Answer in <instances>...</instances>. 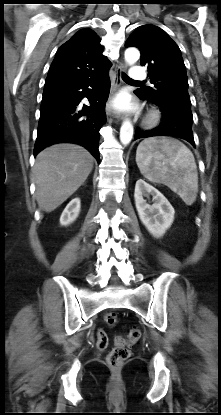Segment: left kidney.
I'll list each match as a JSON object with an SVG mask.
<instances>
[{
    "instance_id": "1",
    "label": "left kidney",
    "mask_w": 221,
    "mask_h": 415,
    "mask_svg": "<svg viewBox=\"0 0 221 415\" xmlns=\"http://www.w3.org/2000/svg\"><path fill=\"white\" fill-rule=\"evenodd\" d=\"M153 196V204L146 202L144 197ZM135 205L141 222L156 238L164 235L174 220V208L156 188L139 179L135 185Z\"/></svg>"
}]
</instances>
